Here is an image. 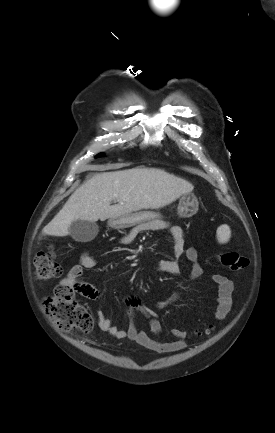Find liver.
<instances>
[{"label":"liver","mask_w":275,"mask_h":433,"mask_svg":"<svg viewBox=\"0 0 275 433\" xmlns=\"http://www.w3.org/2000/svg\"><path fill=\"white\" fill-rule=\"evenodd\" d=\"M194 186L155 168H133L95 174L70 196L63 208L42 230L43 235L67 236L73 221L96 222L163 207ZM113 200L119 203L111 205Z\"/></svg>","instance_id":"6515ba94"}]
</instances>
